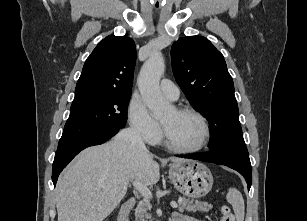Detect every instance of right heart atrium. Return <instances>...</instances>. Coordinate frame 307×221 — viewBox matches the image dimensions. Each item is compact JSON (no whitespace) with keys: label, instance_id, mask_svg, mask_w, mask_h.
Instances as JSON below:
<instances>
[{"label":"right heart atrium","instance_id":"1","mask_svg":"<svg viewBox=\"0 0 307 221\" xmlns=\"http://www.w3.org/2000/svg\"><path fill=\"white\" fill-rule=\"evenodd\" d=\"M128 119L132 130L143 141L154 144L161 139L159 122L151 116L145 103L137 96L132 97L129 102Z\"/></svg>","mask_w":307,"mask_h":221}]
</instances>
